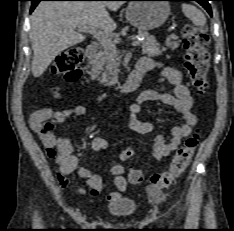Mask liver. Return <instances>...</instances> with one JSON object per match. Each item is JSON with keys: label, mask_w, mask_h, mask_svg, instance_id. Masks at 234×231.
<instances>
[{"label": "liver", "mask_w": 234, "mask_h": 231, "mask_svg": "<svg viewBox=\"0 0 234 231\" xmlns=\"http://www.w3.org/2000/svg\"><path fill=\"white\" fill-rule=\"evenodd\" d=\"M122 1H44L31 16L30 40L33 49L32 74L41 76L64 50L85 40L76 31L88 25L112 32L117 24L107 9L117 11ZM80 31V30H79Z\"/></svg>", "instance_id": "6515ba94"}]
</instances>
